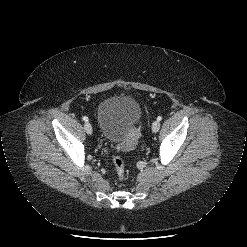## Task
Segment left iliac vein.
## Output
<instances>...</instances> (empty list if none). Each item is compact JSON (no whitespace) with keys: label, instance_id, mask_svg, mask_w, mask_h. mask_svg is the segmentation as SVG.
<instances>
[{"label":"left iliac vein","instance_id":"4c4485c4","mask_svg":"<svg viewBox=\"0 0 247 247\" xmlns=\"http://www.w3.org/2000/svg\"><path fill=\"white\" fill-rule=\"evenodd\" d=\"M160 129V122L158 120L154 121L152 124V131L154 133L158 132Z\"/></svg>","mask_w":247,"mask_h":247}]
</instances>
